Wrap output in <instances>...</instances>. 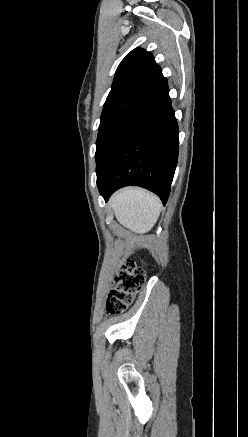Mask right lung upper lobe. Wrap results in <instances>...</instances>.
Masks as SVG:
<instances>
[{
  "instance_id": "cb5924a9",
  "label": "right lung upper lobe",
  "mask_w": 248,
  "mask_h": 437,
  "mask_svg": "<svg viewBox=\"0 0 248 437\" xmlns=\"http://www.w3.org/2000/svg\"><path fill=\"white\" fill-rule=\"evenodd\" d=\"M161 74L151 53L140 48L132 50L119 64L105 103L127 93H141Z\"/></svg>"
}]
</instances>
